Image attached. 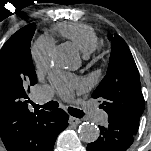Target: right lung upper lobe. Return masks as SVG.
I'll return each instance as SVG.
<instances>
[{
	"label": "right lung upper lobe",
	"mask_w": 151,
	"mask_h": 151,
	"mask_svg": "<svg viewBox=\"0 0 151 151\" xmlns=\"http://www.w3.org/2000/svg\"><path fill=\"white\" fill-rule=\"evenodd\" d=\"M35 83L30 80L27 87L0 86V136L8 151H50L46 127L50 112L28 109L27 88Z\"/></svg>",
	"instance_id": "obj_1"
}]
</instances>
